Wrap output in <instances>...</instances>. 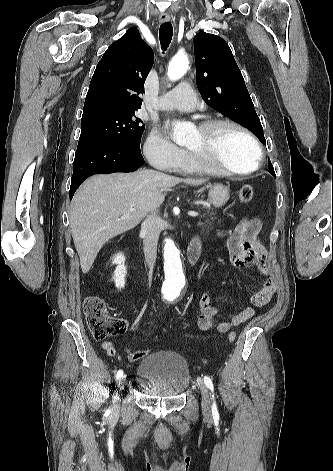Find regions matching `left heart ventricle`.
<instances>
[{
    "instance_id": "left-heart-ventricle-1",
    "label": "left heart ventricle",
    "mask_w": 333,
    "mask_h": 471,
    "mask_svg": "<svg viewBox=\"0 0 333 471\" xmlns=\"http://www.w3.org/2000/svg\"><path fill=\"white\" fill-rule=\"evenodd\" d=\"M185 146L196 152L207 149L216 163L233 170L250 169L256 162L252 142L232 127H219L208 138L196 129L187 138Z\"/></svg>"
}]
</instances>
